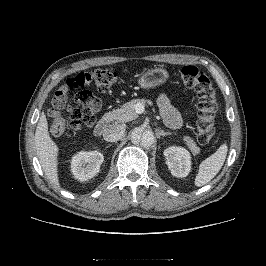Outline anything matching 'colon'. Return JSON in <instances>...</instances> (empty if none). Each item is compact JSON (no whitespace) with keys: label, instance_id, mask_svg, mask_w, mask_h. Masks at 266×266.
Segmentation results:
<instances>
[{"label":"colon","instance_id":"1","mask_svg":"<svg viewBox=\"0 0 266 266\" xmlns=\"http://www.w3.org/2000/svg\"><path fill=\"white\" fill-rule=\"evenodd\" d=\"M181 85L193 89L199 95V120L196 125L197 139L200 144L211 145L216 138L214 119L217 112L216 91L210 77L195 66L187 65L177 70ZM117 81L116 73L109 68H98L80 72L69 77L59 88L53 98L54 120L50 126L53 135L59 136L68 127L82 129L91 127L96 113L101 108V100L86 86L92 82L98 89L106 91ZM72 91H76L70 98ZM69 106L67 115L57 111Z\"/></svg>","mask_w":266,"mask_h":266}]
</instances>
